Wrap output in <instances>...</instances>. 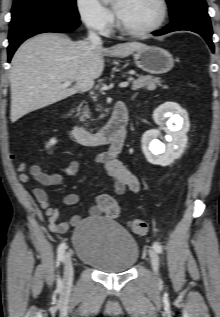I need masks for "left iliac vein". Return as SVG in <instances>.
Here are the masks:
<instances>
[{"label": "left iliac vein", "mask_w": 220, "mask_h": 317, "mask_svg": "<svg viewBox=\"0 0 220 317\" xmlns=\"http://www.w3.org/2000/svg\"><path fill=\"white\" fill-rule=\"evenodd\" d=\"M149 256H150L152 268H153L155 274L158 275V272H159V256L156 253V251H154L152 249L149 250Z\"/></svg>", "instance_id": "4c4485c4"}]
</instances>
